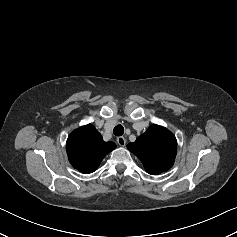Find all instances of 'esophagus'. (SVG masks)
Here are the masks:
<instances>
[{
    "label": "esophagus",
    "instance_id": "obj_1",
    "mask_svg": "<svg viewBox=\"0 0 237 237\" xmlns=\"http://www.w3.org/2000/svg\"><path fill=\"white\" fill-rule=\"evenodd\" d=\"M117 143H118L119 146H122V147H123V146H125V144H126V140H125L124 137L121 136V137H118V138H117Z\"/></svg>",
    "mask_w": 237,
    "mask_h": 237
}]
</instances>
